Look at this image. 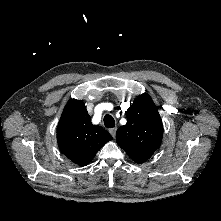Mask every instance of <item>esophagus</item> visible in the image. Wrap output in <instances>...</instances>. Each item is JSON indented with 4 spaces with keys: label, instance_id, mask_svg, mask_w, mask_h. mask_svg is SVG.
<instances>
[{
    "label": "esophagus",
    "instance_id": "34e87169",
    "mask_svg": "<svg viewBox=\"0 0 221 221\" xmlns=\"http://www.w3.org/2000/svg\"><path fill=\"white\" fill-rule=\"evenodd\" d=\"M116 131H117V128H116V127L109 130V132H110V134L112 135L113 138H114L115 135H116Z\"/></svg>",
    "mask_w": 221,
    "mask_h": 221
}]
</instances>
